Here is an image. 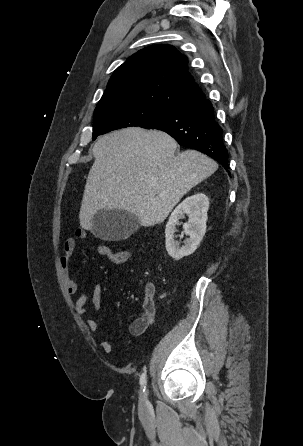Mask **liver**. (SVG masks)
<instances>
[{
  "label": "liver",
  "instance_id": "obj_1",
  "mask_svg": "<svg viewBox=\"0 0 303 446\" xmlns=\"http://www.w3.org/2000/svg\"><path fill=\"white\" fill-rule=\"evenodd\" d=\"M176 149L168 134L139 127L100 137L81 203V227L91 230L100 210H124L145 227L162 223L191 188L218 168L198 151L176 155Z\"/></svg>",
  "mask_w": 303,
  "mask_h": 446
}]
</instances>
